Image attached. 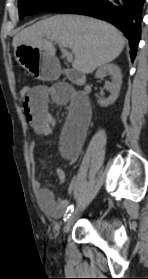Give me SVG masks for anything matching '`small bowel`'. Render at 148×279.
<instances>
[{"label":"small bowel","instance_id":"obj_1","mask_svg":"<svg viewBox=\"0 0 148 279\" xmlns=\"http://www.w3.org/2000/svg\"><path fill=\"white\" fill-rule=\"evenodd\" d=\"M50 103L69 105V113L60 133L59 152L69 164H73L81 154L91 123L89 102L83 95L63 83L33 87L30 98L23 101V109L26 119L40 136H51L54 131V119L48 111ZM32 148L35 150V144ZM65 168L66 165H63L56 171L61 180L66 179ZM33 190L41 210L51 216L59 217L69 204L67 199H57L39 180L33 182ZM69 191H73L72 185Z\"/></svg>","mask_w":148,"mask_h":279}]
</instances>
